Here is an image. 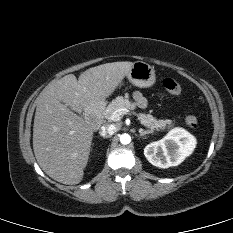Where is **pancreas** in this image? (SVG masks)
<instances>
[{
    "instance_id": "pancreas-1",
    "label": "pancreas",
    "mask_w": 233,
    "mask_h": 233,
    "mask_svg": "<svg viewBox=\"0 0 233 233\" xmlns=\"http://www.w3.org/2000/svg\"><path fill=\"white\" fill-rule=\"evenodd\" d=\"M120 108L134 109L135 106L127 97L118 96L107 106L106 110L103 112V117L110 121L111 115ZM137 117L140 123L148 128L151 133H153L154 130L170 129L173 126L172 120H157L150 114L138 113Z\"/></svg>"
}]
</instances>
